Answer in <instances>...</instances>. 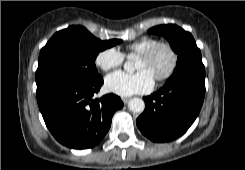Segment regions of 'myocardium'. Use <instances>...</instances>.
Instances as JSON below:
<instances>
[{"mask_svg": "<svg viewBox=\"0 0 245 170\" xmlns=\"http://www.w3.org/2000/svg\"><path fill=\"white\" fill-rule=\"evenodd\" d=\"M161 48H164L169 52V54L171 56V64L168 67V69L162 75L155 77V79L158 82H164V81L168 80L173 75V73L175 72V70L177 68L178 53L176 52L174 47L168 42L159 41V42L155 43L153 46H151L149 49L141 52L138 55V57L143 58V59H151L156 54V52Z\"/></svg>", "mask_w": 245, "mask_h": 170, "instance_id": "f54148a6", "label": "myocardium"}]
</instances>
